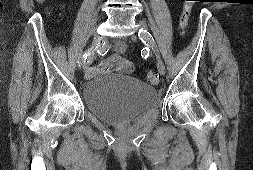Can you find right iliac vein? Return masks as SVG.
Segmentation results:
<instances>
[{
	"instance_id": "obj_1",
	"label": "right iliac vein",
	"mask_w": 253,
	"mask_h": 170,
	"mask_svg": "<svg viewBox=\"0 0 253 170\" xmlns=\"http://www.w3.org/2000/svg\"><path fill=\"white\" fill-rule=\"evenodd\" d=\"M98 38V35L96 32L93 33V40L96 41ZM93 59H94V55L91 54L87 59L86 61H84L83 63V68H84V71H85V78H90V72H89V67L90 65L92 64L93 62Z\"/></svg>"
}]
</instances>
